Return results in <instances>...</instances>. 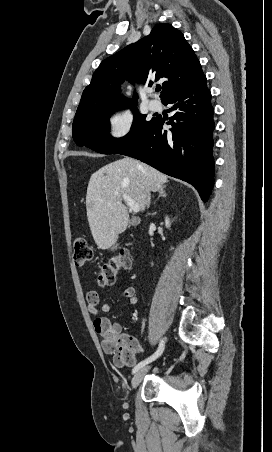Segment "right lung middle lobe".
I'll return each mask as SVG.
<instances>
[{"label":"right lung middle lobe","mask_w":272,"mask_h":452,"mask_svg":"<svg viewBox=\"0 0 272 452\" xmlns=\"http://www.w3.org/2000/svg\"><path fill=\"white\" fill-rule=\"evenodd\" d=\"M134 112L130 132L122 138L109 134L110 114L119 108H101L74 118L73 139L80 147L86 146L102 154H118L133 145L150 126L155 118L146 120V115L138 112L136 105L129 106Z\"/></svg>","instance_id":"1"}]
</instances>
